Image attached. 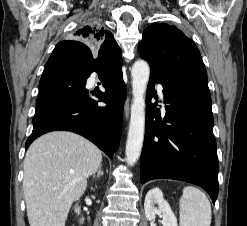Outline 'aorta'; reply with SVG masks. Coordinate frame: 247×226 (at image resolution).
Returning <instances> with one entry per match:
<instances>
[{
    "mask_svg": "<svg viewBox=\"0 0 247 226\" xmlns=\"http://www.w3.org/2000/svg\"><path fill=\"white\" fill-rule=\"evenodd\" d=\"M132 94L130 126L126 143L127 164L132 166L141 155L145 132V98L150 76V68L146 61L137 60L131 71Z\"/></svg>",
    "mask_w": 247,
    "mask_h": 226,
    "instance_id": "762f6f07",
    "label": "aorta"
}]
</instances>
